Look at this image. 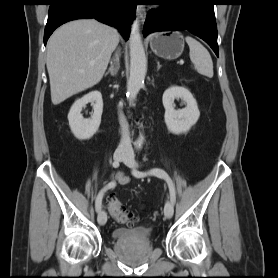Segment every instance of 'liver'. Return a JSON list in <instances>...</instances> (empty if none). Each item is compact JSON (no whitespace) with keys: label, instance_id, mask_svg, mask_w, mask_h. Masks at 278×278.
Returning <instances> with one entry per match:
<instances>
[{"label":"liver","instance_id":"1","mask_svg":"<svg viewBox=\"0 0 278 278\" xmlns=\"http://www.w3.org/2000/svg\"><path fill=\"white\" fill-rule=\"evenodd\" d=\"M118 42L116 29L94 19H79L59 27L47 43L52 103L58 105L96 85Z\"/></svg>","mask_w":278,"mask_h":278}]
</instances>
